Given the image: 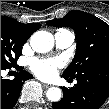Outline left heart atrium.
Returning <instances> with one entry per match:
<instances>
[{
    "label": "left heart atrium",
    "instance_id": "1",
    "mask_svg": "<svg viewBox=\"0 0 109 109\" xmlns=\"http://www.w3.org/2000/svg\"><path fill=\"white\" fill-rule=\"evenodd\" d=\"M62 58L34 59L31 61L32 71L41 79L50 80L57 76L59 69L64 66Z\"/></svg>",
    "mask_w": 109,
    "mask_h": 109
}]
</instances>
